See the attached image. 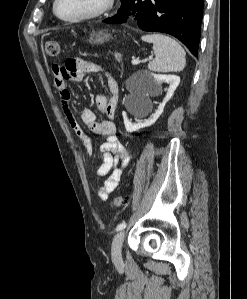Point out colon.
I'll list each match as a JSON object with an SVG mask.
<instances>
[{"label": "colon", "mask_w": 247, "mask_h": 299, "mask_svg": "<svg viewBox=\"0 0 247 299\" xmlns=\"http://www.w3.org/2000/svg\"><path fill=\"white\" fill-rule=\"evenodd\" d=\"M44 52L45 55L48 57H58L59 53H60V46L59 43L56 40H47L44 43ZM116 58L119 59V55L116 54ZM129 202V199L127 197L118 195L116 197H114L113 199V205L115 207H122L124 205H127Z\"/></svg>", "instance_id": "colon-1"}]
</instances>
